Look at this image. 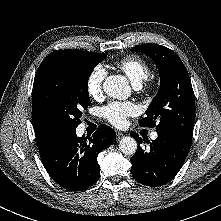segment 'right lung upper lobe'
Returning a JSON list of instances; mask_svg holds the SVG:
<instances>
[{"instance_id": "right-lung-upper-lobe-1", "label": "right lung upper lobe", "mask_w": 221, "mask_h": 221, "mask_svg": "<svg viewBox=\"0 0 221 221\" xmlns=\"http://www.w3.org/2000/svg\"><path fill=\"white\" fill-rule=\"evenodd\" d=\"M81 50H56L52 53H50L45 59H49L59 53H65V52H79ZM33 116V125L35 128V135H36V140H37V145L38 147L43 146L44 144H46L49 139L57 134L56 132H54L53 130H51L50 128H48L44 123H42L36 115H34L32 113Z\"/></svg>"}]
</instances>
